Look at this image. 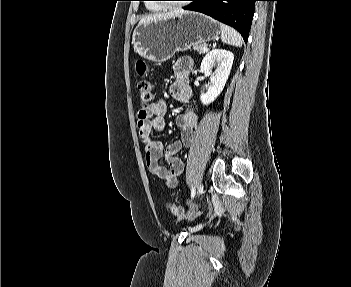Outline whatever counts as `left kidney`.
Masks as SVG:
<instances>
[{"label":"left kidney","instance_id":"left-kidney-1","mask_svg":"<svg viewBox=\"0 0 351 287\" xmlns=\"http://www.w3.org/2000/svg\"><path fill=\"white\" fill-rule=\"evenodd\" d=\"M234 55L225 49H213L205 55L201 62L200 71L210 77V86L206 93H202L200 100L203 105L212 103L222 92L229 77ZM217 69L212 72L213 67Z\"/></svg>","mask_w":351,"mask_h":287}]
</instances>
